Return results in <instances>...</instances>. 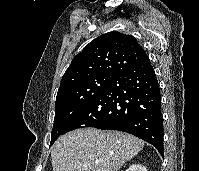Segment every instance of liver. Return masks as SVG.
Masks as SVG:
<instances>
[{"instance_id": "liver-1", "label": "liver", "mask_w": 199, "mask_h": 171, "mask_svg": "<svg viewBox=\"0 0 199 171\" xmlns=\"http://www.w3.org/2000/svg\"><path fill=\"white\" fill-rule=\"evenodd\" d=\"M144 147L120 131L83 128L57 139L51 149L53 171H118Z\"/></svg>"}]
</instances>
